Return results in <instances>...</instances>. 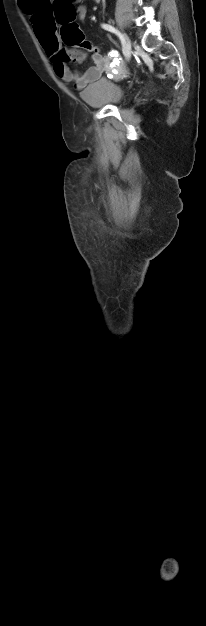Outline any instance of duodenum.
<instances>
[{
	"label": "duodenum",
	"instance_id": "410a0bca",
	"mask_svg": "<svg viewBox=\"0 0 206 626\" xmlns=\"http://www.w3.org/2000/svg\"><path fill=\"white\" fill-rule=\"evenodd\" d=\"M94 1L98 2V1H100V0H94Z\"/></svg>",
	"mask_w": 206,
	"mask_h": 626
}]
</instances>
